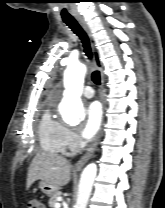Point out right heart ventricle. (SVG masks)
Masks as SVG:
<instances>
[{"instance_id":"1","label":"right heart ventricle","mask_w":165,"mask_h":208,"mask_svg":"<svg viewBox=\"0 0 165 208\" xmlns=\"http://www.w3.org/2000/svg\"><path fill=\"white\" fill-rule=\"evenodd\" d=\"M39 142L42 149L51 154H62L67 149L66 127L52 114L44 110L38 126Z\"/></svg>"}]
</instances>
